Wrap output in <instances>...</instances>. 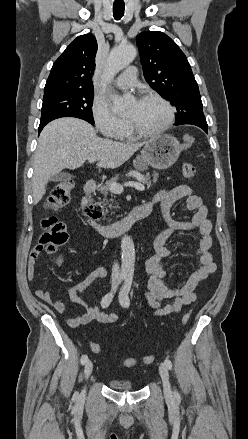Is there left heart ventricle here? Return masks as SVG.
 I'll list each match as a JSON object with an SVG mask.
<instances>
[{
	"label": "left heart ventricle",
	"mask_w": 248,
	"mask_h": 439,
	"mask_svg": "<svg viewBox=\"0 0 248 439\" xmlns=\"http://www.w3.org/2000/svg\"><path fill=\"white\" fill-rule=\"evenodd\" d=\"M127 118L145 130H155L167 122L168 110L158 100H135L129 107Z\"/></svg>",
	"instance_id": "b2bd125f"
}]
</instances>
